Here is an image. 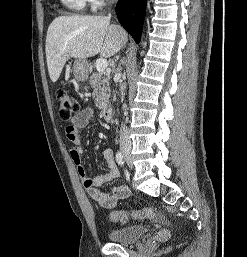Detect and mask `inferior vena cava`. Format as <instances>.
Masks as SVG:
<instances>
[{
  "mask_svg": "<svg viewBox=\"0 0 247 257\" xmlns=\"http://www.w3.org/2000/svg\"><path fill=\"white\" fill-rule=\"evenodd\" d=\"M120 146L122 148L124 147H131V140H130V136H129V132L127 127L122 124L121 128H120Z\"/></svg>",
  "mask_w": 247,
  "mask_h": 257,
  "instance_id": "1",
  "label": "inferior vena cava"
}]
</instances>
